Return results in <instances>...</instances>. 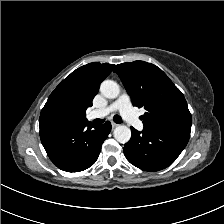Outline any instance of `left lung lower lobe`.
I'll return each instance as SVG.
<instances>
[{"mask_svg":"<svg viewBox=\"0 0 224 224\" xmlns=\"http://www.w3.org/2000/svg\"><path fill=\"white\" fill-rule=\"evenodd\" d=\"M132 136L124 146L127 160L145 171H159L171 165L183 151L189 137L154 128L142 132L131 127Z\"/></svg>","mask_w":224,"mask_h":224,"instance_id":"left-lung-lower-lobe-1","label":"left lung lower lobe"}]
</instances>
